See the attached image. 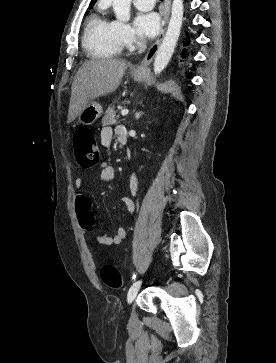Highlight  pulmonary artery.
Masks as SVG:
<instances>
[{
    "label": "pulmonary artery",
    "mask_w": 276,
    "mask_h": 363,
    "mask_svg": "<svg viewBox=\"0 0 276 363\" xmlns=\"http://www.w3.org/2000/svg\"><path fill=\"white\" fill-rule=\"evenodd\" d=\"M154 2L155 0H133L136 8L143 11L151 10L154 7Z\"/></svg>",
    "instance_id": "1"
}]
</instances>
